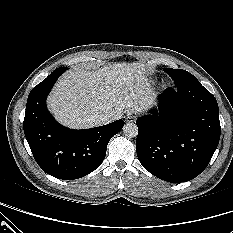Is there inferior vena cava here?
<instances>
[{"label": "inferior vena cava", "mask_w": 233, "mask_h": 233, "mask_svg": "<svg viewBox=\"0 0 233 233\" xmlns=\"http://www.w3.org/2000/svg\"><path fill=\"white\" fill-rule=\"evenodd\" d=\"M95 121L99 125H104V124L110 123L112 121V119L108 114H101V115L95 116Z\"/></svg>", "instance_id": "obj_1"}]
</instances>
